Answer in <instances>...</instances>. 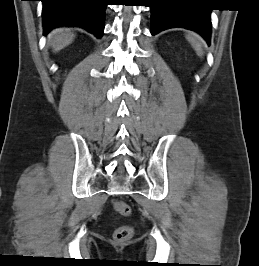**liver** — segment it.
<instances>
[{
    "label": "liver",
    "instance_id": "1",
    "mask_svg": "<svg viewBox=\"0 0 259 266\" xmlns=\"http://www.w3.org/2000/svg\"><path fill=\"white\" fill-rule=\"evenodd\" d=\"M75 38L70 29L59 28L53 30L48 36V42L54 52H59L68 45H70Z\"/></svg>",
    "mask_w": 259,
    "mask_h": 266
}]
</instances>
